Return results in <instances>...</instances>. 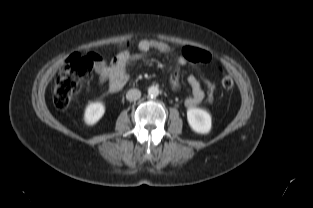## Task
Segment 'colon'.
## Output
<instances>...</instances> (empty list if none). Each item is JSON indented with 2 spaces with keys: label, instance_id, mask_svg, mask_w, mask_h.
Segmentation results:
<instances>
[{
  "label": "colon",
  "instance_id": "colon-1",
  "mask_svg": "<svg viewBox=\"0 0 313 208\" xmlns=\"http://www.w3.org/2000/svg\"><path fill=\"white\" fill-rule=\"evenodd\" d=\"M189 63H208L211 55L198 48L188 47L183 52ZM101 58L99 54L74 53L72 54L61 72L59 73L53 88V101L58 109H65L70 104L73 97L79 91L81 86L90 78L94 62ZM208 89V101L214 99L216 86L211 80L206 81ZM234 82L230 75L223 73L221 76V85L225 89L232 88Z\"/></svg>",
  "mask_w": 313,
  "mask_h": 208
}]
</instances>
